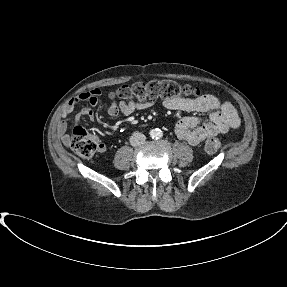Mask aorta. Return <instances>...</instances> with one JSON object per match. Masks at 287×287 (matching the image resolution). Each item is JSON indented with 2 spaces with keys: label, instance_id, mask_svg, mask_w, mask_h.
I'll use <instances>...</instances> for the list:
<instances>
[{
  "label": "aorta",
  "instance_id": "1",
  "mask_svg": "<svg viewBox=\"0 0 287 287\" xmlns=\"http://www.w3.org/2000/svg\"><path fill=\"white\" fill-rule=\"evenodd\" d=\"M163 135L162 131L160 129H153L151 132H150V136L152 138H156V139H159L161 138Z\"/></svg>",
  "mask_w": 287,
  "mask_h": 287
}]
</instances>
